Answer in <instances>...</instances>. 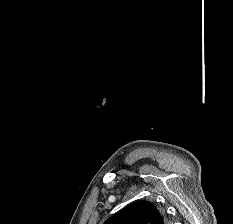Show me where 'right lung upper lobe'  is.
<instances>
[{
  "label": "right lung upper lobe",
  "mask_w": 233,
  "mask_h": 224,
  "mask_svg": "<svg viewBox=\"0 0 233 224\" xmlns=\"http://www.w3.org/2000/svg\"><path fill=\"white\" fill-rule=\"evenodd\" d=\"M164 215L148 201H137L108 218L104 224H165Z\"/></svg>",
  "instance_id": "1"
}]
</instances>
